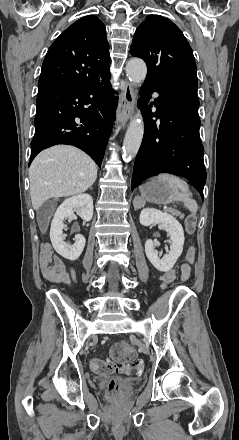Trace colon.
<instances>
[{
	"label": "colon",
	"instance_id": "5ec220e1",
	"mask_svg": "<svg viewBox=\"0 0 239 440\" xmlns=\"http://www.w3.org/2000/svg\"><path fill=\"white\" fill-rule=\"evenodd\" d=\"M186 229L188 233H192L196 225V217L194 215H189L186 218ZM195 258V249L190 247L186 253V261L191 264ZM177 277L176 270L168 271L163 277L162 288L166 289L170 283H172ZM113 361H103L100 359H95L91 362V369L103 375L113 374V373H130L131 367L127 363L133 361L132 368L136 373H141L144 368V364L141 360L135 359V350L127 341L118 342L112 351ZM108 397L113 399L120 395V390L116 385V379H112L110 385L107 388Z\"/></svg>",
	"mask_w": 239,
	"mask_h": 440
}]
</instances>
